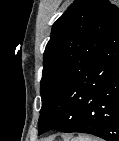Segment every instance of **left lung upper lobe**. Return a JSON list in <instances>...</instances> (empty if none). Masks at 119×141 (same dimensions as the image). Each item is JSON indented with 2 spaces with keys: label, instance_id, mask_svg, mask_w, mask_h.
Here are the masks:
<instances>
[{
  "label": "left lung upper lobe",
  "instance_id": "5c2ea615",
  "mask_svg": "<svg viewBox=\"0 0 119 141\" xmlns=\"http://www.w3.org/2000/svg\"><path fill=\"white\" fill-rule=\"evenodd\" d=\"M118 15L108 0H75L53 24L44 52L40 113L83 72Z\"/></svg>",
  "mask_w": 119,
  "mask_h": 141
}]
</instances>
